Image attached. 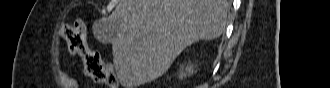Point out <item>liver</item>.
I'll use <instances>...</instances> for the list:
<instances>
[{
  "instance_id": "6515ba94",
  "label": "liver",
  "mask_w": 330,
  "mask_h": 88,
  "mask_svg": "<svg viewBox=\"0 0 330 88\" xmlns=\"http://www.w3.org/2000/svg\"><path fill=\"white\" fill-rule=\"evenodd\" d=\"M227 0H120L105 21L117 76L133 88L163 75L189 45L225 30Z\"/></svg>"
}]
</instances>
